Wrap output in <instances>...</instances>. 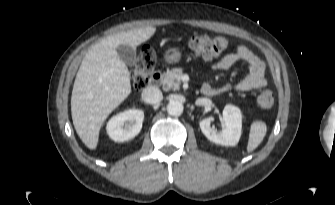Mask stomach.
<instances>
[{
  "mask_svg": "<svg viewBox=\"0 0 335 205\" xmlns=\"http://www.w3.org/2000/svg\"><path fill=\"white\" fill-rule=\"evenodd\" d=\"M164 59L168 63H178L181 60V52L177 48H169L164 53Z\"/></svg>",
  "mask_w": 335,
  "mask_h": 205,
  "instance_id": "0dacf381",
  "label": "stomach"
}]
</instances>
